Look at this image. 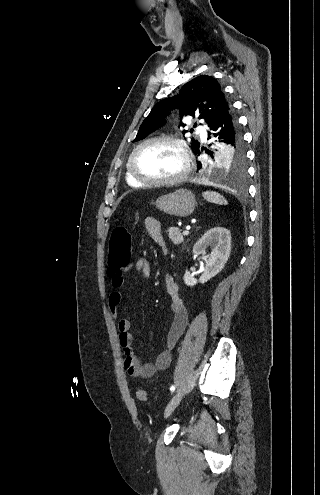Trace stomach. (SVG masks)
Returning a JSON list of instances; mask_svg holds the SVG:
<instances>
[{
	"instance_id": "1",
	"label": "stomach",
	"mask_w": 320,
	"mask_h": 495,
	"mask_svg": "<svg viewBox=\"0 0 320 495\" xmlns=\"http://www.w3.org/2000/svg\"><path fill=\"white\" fill-rule=\"evenodd\" d=\"M195 204V196L187 189H179L173 193L163 195L155 202V206L159 211L179 217L191 215Z\"/></svg>"
}]
</instances>
